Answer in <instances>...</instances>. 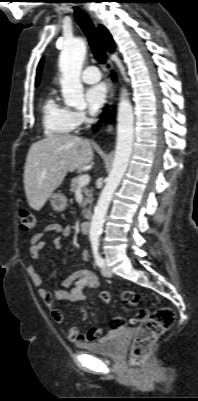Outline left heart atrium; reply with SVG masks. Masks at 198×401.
<instances>
[{"mask_svg": "<svg viewBox=\"0 0 198 401\" xmlns=\"http://www.w3.org/2000/svg\"><path fill=\"white\" fill-rule=\"evenodd\" d=\"M85 99L88 109L91 113H97L105 104L107 99V87L104 83H97L85 92Z\"/></svg>", "mask_w": 198, "mask_h": 401, "instance_id": "left-heart-atrium-1", "label": "left heart atrium"}]
</instances>
